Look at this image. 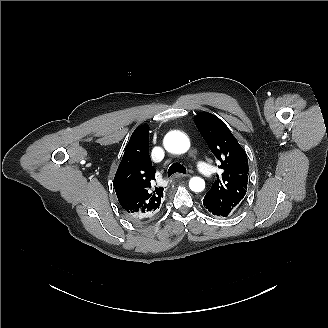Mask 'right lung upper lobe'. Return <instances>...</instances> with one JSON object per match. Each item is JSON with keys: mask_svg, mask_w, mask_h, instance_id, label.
<instances>
[{"mask_svg": "<svg viewBox=\"0 0 328 328\" xmlns=\"http://www.w3.org/2000/svg\"><path fill=\"white\" fill-rule=\"evenodd\" d=\"M149 126L135 129L114 178L119 203L129 217L146 222L163 207V190L155 184V172L149 156Z\"/></svg>", "mask_w": 328, "mask_h": 328, "instance_id": "1", "label": "right lung upper lobe"}]
</instances>
